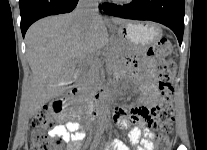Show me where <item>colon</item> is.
Here are the masks:
<instances>
[{
    "instance_id": "5ec220e1",
    "label": "colon",
    "mask_w": 207,
    "mask_h": 150,
    "mask_svg": "<svg viewBox=\"0 0 207 150\" xmlns=\"http://www.w3.org/2000/svg\"><path fill=\"white\" fill-rule=\"evenodd\" d=\"M170 52L171 43L167 38H161L149 49V55L159 62L156 80L160 101L149 111L146 123L157 133L158 145L161 150L168 148L174 121L173 94L176 65L172 60L166 59ZM55 104L53 110L60 112L62 101L56 100ZM54 126L52 110L48 107L40 109L30 121V150H62L59 139L49 134ZM151 137L152 134L150 140Z\"/></svg>"
}]
</instances>
